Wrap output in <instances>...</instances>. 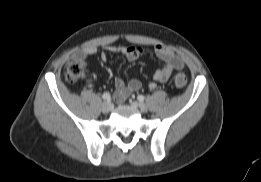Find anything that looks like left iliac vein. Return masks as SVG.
I'll use <instances>...</instances> for the list:
<instances>
[{
    "label": "left iliac vein",
    "mask_w": 261,
    "mask_h": 182,
    "mask_svg": "<svg viewBox=\"0 0 261 182\" xmlns=\"http://www.w3.org/2000/svg\"><path fill=\"white\" fill-rule=\"evenodd\" d=\"M132 106L140 109L142 112H146L148 110L147 106L142 102L133 101Z\"/></svg>",
    "instance_id": "1"
}]
</instances>
